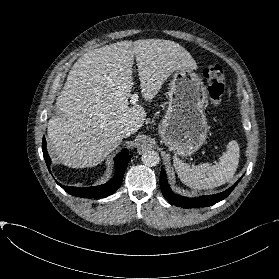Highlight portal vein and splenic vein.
<instances>
[{"mask_svg":"<svg viewBox=\"0 0 279 279\" xmlns=\"http://www.w3.org/2000/svg\"><path fill=\"white\" fill-rule=\"evenodd\" d=\"M137 101H138V95L137 94L130 95V102L132 104H135Z\"/></svg>","mask_w":279,"mask_h":279,"instance_id":"1","label":"portal vein and splenic vein"}]
</instances>
